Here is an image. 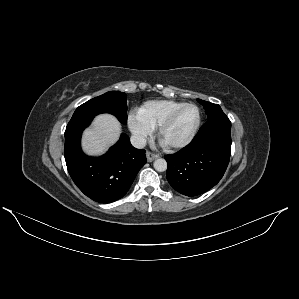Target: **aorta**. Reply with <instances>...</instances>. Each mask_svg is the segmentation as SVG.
Returning <instances> with one entry per match:
<instances>
[{
  "instance_id": "1",
  "label": "aorta",
  "mask_w": 299,
  "mask_h": 299,
  "mask_svg": "<svg viewBox=\"0 0 299 299\" xmlns=\"http://www.w3.org/2000/svg\"><path fill=\"white\" fill-rule=\"evenodd\" d=\"M154 169L158 172H163L167 169V162L163 158H158L154 161Z\"/></svg>"
}]
</instances>
